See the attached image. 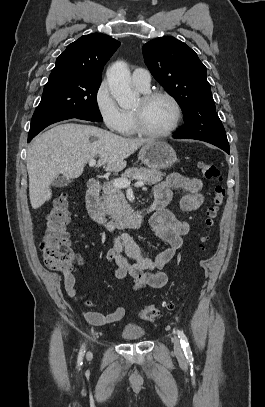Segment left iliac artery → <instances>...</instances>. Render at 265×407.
<instances>
[{
  "label": "left iliac artery",
  "instance_id": "1",
  "mask_svg": "<svg viewBox=\"0 0 265 407\" xmlns=\"http://www.w3.org/2000/svg\"><path fill=\"white\" fill-rule=\"evenodd\" d=\"M177 335L180 338V343L183 348L184 354L189 361H193L192 351L188 343L186 335L181 330H177Z\"/></svg>",
  "mask_w": 265,
  "mask_h": 407
}]
</instances>
